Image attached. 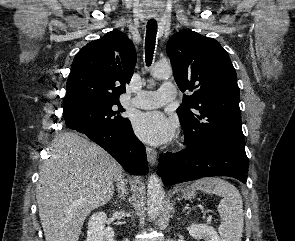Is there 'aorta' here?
I'll return each mask as SVG.
<instances>
[{
	"instance_id": "obj_1",
	"label": "aorta",
	"mask_w": 295,
	"mask_h": 241,
	"mask_svg": "<svg viewBox=\"0 0 295 241\" xmlns=\"http://www.w3.org/2000/svg\"><path fill=\"white\" fill-rule=\"evenodd\" d=\"M151 74L154 78L165 79L172 75V68L168 63H157L153 66ZM165 192L160 177L151 174L147 184V213L150 219L158 216L164 206Z\"/></svg>"
}]
</instances>
